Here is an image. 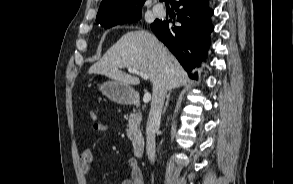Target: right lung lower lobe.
Wrapping results in <instances>:
<instances>
[{
    "label": "right lung lower lobe",
    "mask_w": 293,
    "mask_h": 184,
    "mask_svg": "<svg viewBox=\"0 0 293 184\" xmlns=\"http://www.w3.org/2000/svg\"><path fill=\"white\" fill-rule=\"evenodd\" d=\"M177 12L175 25L172 20H155L151 29L155 35L176 56L191 78L195 66H199L206 57L213 30L210 18L213 10L208 7V0H170Z\"/></svg>",
    "instance_id": "98d812e1"
}]
</instances>
